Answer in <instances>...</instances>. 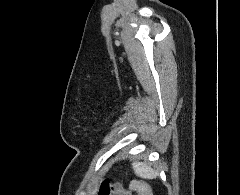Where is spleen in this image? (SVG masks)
I'll list each match as a JSON object with an SVG mask.
<instances>
[{"mask_svg":"<svg viewBox=\"0 0 240 195\" xmlns=\"http://www.w3.org/2000/svg\"><path fill=\"white\" fill-rule=\"evenodd\" d=\"M132 165L136 175L144 177V179H154V177L158 175L157 169H153V167H150L145 161H136V163H132Z\"/></svg>","mask_w":240,"mask_h":195,"instance_id":"obj_1","label":"spleen"}]
</instances>
